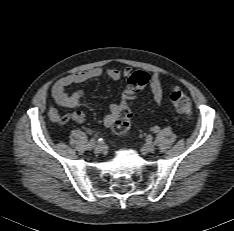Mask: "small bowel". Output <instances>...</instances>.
I'll return each mask as SVG.
<instances>
[{"label":"small bowel","mask_w":234,"mask_h":231,"mask_svg":"<svg viewBox=\"0 0 234 231\" xmlns=\"http://www.w3.org/2000/svg\"><path fill=\"white\" fill-rule=\"evenodd\" d=\"M106 74L112 80H119L122 77H128L131 74L130 68L120 70L118 68H109L103 70L101 67H94L88 70L76 72L73 74L65 75L59 78L52 87V97L56 104L65 108L76 107L85 95L84 90H76L72 93L67 92V88L75 83L86 82ZM150 88L156 104H160L163 100V84L158 74H153L150 79ZM120 105L112 103L108 111L104 114L103 122L107 127H113L116 121ZM49 117L53 121L60 118L58 111L51 107L49 109ZM74 122L82 123L85 119L84 113L81 111L73 112L69 117Z\"/></svg>","instance_id":"1"}]
</instances>
